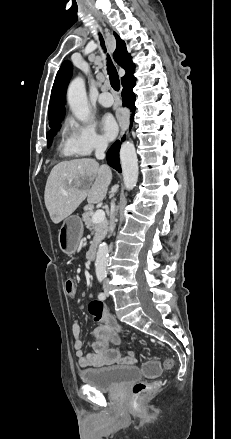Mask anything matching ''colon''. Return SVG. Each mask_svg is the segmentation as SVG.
I'll return each instance as SVG.
<instances>
[{
    "instance_id": "5ec220e1",
    "label": "colon",
    "mask_w": 231,
    "mask_h": 439,
    "mask_svg": "<svg viewBox=\"0 0 231 439\" xmlns=\"http://www.w3.org/2000/svg\"><path fill=\"white\" fill-rule=\"evenodd\" d=\"M64 290L69 297L76 296L77 286L75 281L73 279H67L64 284ZM89 312L95 321L103 320L107 315L104 305L100 301L90 302ZM173 366H174L173 359L165 360L164 362L165 369L170 370L173 368ZM160 372H161L160 362L155 358L148 360L142 366V373L144 377L147 379H151V380L156 379L159 376ZM157 386L158 384L156 382L139 381L132 388L133 396L135 398H141L151 390L155 389Z\"/></svg>"
}]
</instances>
